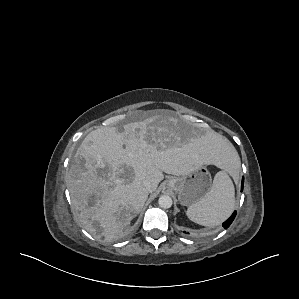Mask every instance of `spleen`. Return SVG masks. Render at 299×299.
I'll use <instances>...</instances> for the list:
<instances>
[{
	"instance_id": "3e777b00",
	"label": "spleen",
	"mask_w": 299,
	"mask_h": 299,
	"mask_svg": "<svg viewBox=\"0 0 299 299\" xmlns=\"http://www.w3.org/2000/svg\"><path fill=\"white\" fill-rule=\"evenodd\" d=\"M235 190L225 170L219 171L208 194L199 202L188 207L187 217L200 225L213 227L224 222L235 205Z\"/></svg>"
}]
</instances>
